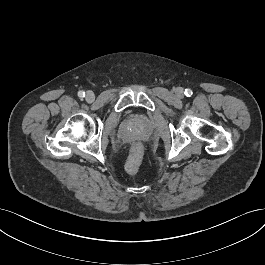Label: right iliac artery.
I'll return each instance as SVG.
<instances>
[{
  "label": "right iliac artery",
  "mask_w": 265,
  "mask_h": 265,
  "mask_svg": "<svg viewBox=\"0 0 265 265\" xmlns=\"http://www.w3.org/2000/svg\"><path fill=\"white\" fill-rule=\"evenodd\" d=\"M78 96H79L80 98H84V97H85V92H83V91H79V92H78Z\"/></svg>",
  "instance_id": "1"
}]
</instances>
